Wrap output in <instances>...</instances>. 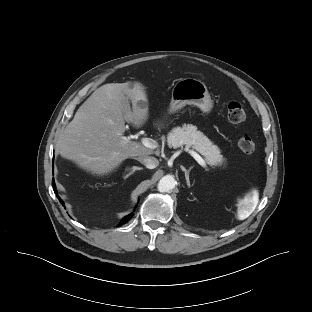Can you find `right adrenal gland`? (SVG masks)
I'll list each match as a JSON object with an SVG mask.
<instances>
[{
	"mask_svg": "<svg viewBox=\"0 0 312 312\" xmlns=\"http://www.w3.org/2000/svg\"><path fill=\"white\" fill-rule=\"evenodd\" d=\"M142 167H137V166H133L131 168H127L126 170H130V172L128 174H126L123 178L127 179L130 175H132L135 171L137 170H142Z\"/></svg>",
	"mask_w": 312,
	"mask_h": 312,
	"instance_id": "obj_1",
	"label": "right adrenal gland"
}]
</instances>
